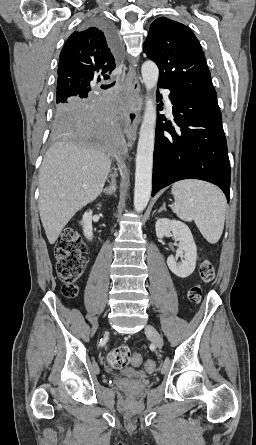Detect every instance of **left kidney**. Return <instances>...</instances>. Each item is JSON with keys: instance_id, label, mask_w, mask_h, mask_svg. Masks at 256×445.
Here are the masks:
<instances>
[{"instance_id": "obj_1", "label": "left kidney", "mask_w": 256, "mask_h": 445, "mask_svg": "<svg viewBox=\"0 0 256 445\" xmlns=\"http://www.w3.org/2000/svg\"><path fill=\"white\" fill-rule=\"evenodd\" d=\"M155 228L158 238L162 239L172 232L173 237L179 241L177 254L182 258V262H177V258L170 255L167 258L169 269L180 278L191 275L196 266L197 247L189 227L181 221L161 218L157 220Z\"/></svg>"}]
</instances>
